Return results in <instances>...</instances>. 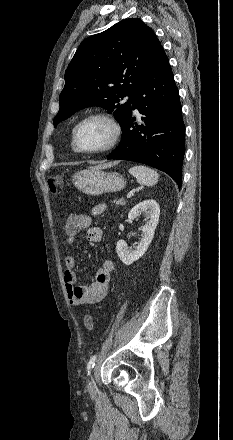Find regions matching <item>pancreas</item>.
Here are the masks:
<instances>
[{
	"label": "pancreas",
	"mask_w": 233,
	"mask_h": 440,
	"mask_svg": "<svg viewBox=\"0 0 233 440\" xmlns=\"http://www.w3.org/2000/svg\"><path fill=\"white\" fill-rule=\"evenodd\" d=\"M115 203L117 206H119V205L124 206L126 204V201H124L123 199H119V200L115 201Z\"/></svg>",
	"instance_id": "1"
}]
</instances>
